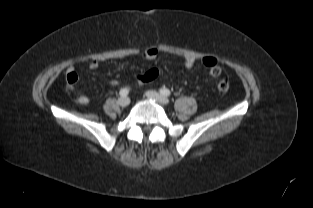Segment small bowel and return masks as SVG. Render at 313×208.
I'll return each mask as SVG.
<instances>
[{"label":"small bowel","instance_id":"c3829d8e","mask_svg":"<svg viewBox=\"0 0 313 208\" xmlns=\"http://www.w3.org/2000/svg\"><path fill=\"white\" fill-rule=\"evenodd\" d=\"M158 54V51L157 49L153 48V47H149L147 49H145L142 53V57L145 59V60H154L156 58ZM197 60L194 58V57H186L185 60H184V64L187 68H192L194 67V65L196 64ZM79 63H82V64H85L87 65L89 68H92V69H95L99 66L100 64V61L98 59H95V58H91V57H84L82 58ZM201 63L207 67L208 69H210L211 67L213 66H216L217 65V60L212 57V56H206V57H203L201 59ZM71 77H75L76 78V81L78 83V75L76 74L75 72V67L74 66H70L68 68V71H67V83H69V78ZM77 83H76V86H77ZM112 84L113 85H117L118 82L116 80H113L112 81ZM69 86V84H68ZM74 86V87H70L69 88L73 91L76 92V100L78 101V103H80L81 105H87L89 103V97L83 93H80L78 90H77V87Z\"/></svg>","mask_w":313,"mask_h":208}]
</instances>
